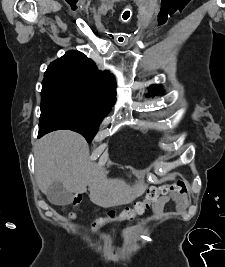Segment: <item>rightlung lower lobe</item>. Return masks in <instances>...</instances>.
<instances>
[{"label": "right lung lower lobe", "instance_id": "1", "mask_svg": "<svg viewBox=\"0 0 225 267\" xmlns=\"http://www.w3.org/2000/svg\"><path fill=\"white\" fill-rule=\"evenodd\" d=\"M59 129H67V127L58 119L51 116H41L39 122V133L38 138L43 135Z\"/></svg>", "mask_w": 225, "mask_h": 267}]
</instances>
